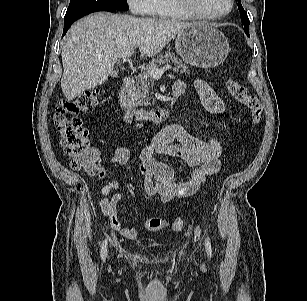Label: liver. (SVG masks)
<instances>
[{"mask_svg":"<svg viewBox=\"0 0 307 301\" xmlns=\"http://www.w3.org/2000/svg\"><path fill=\"white\" fill-rule=\"evenodd\" d=\"M194 24L170 19L95 13L75 22L62 47L61 88L67 100L103 84L127 51L141 58L157 55L182 30Z\"/></svg>","mask_w":307,"mask_h":301,"instance_id":"liver-1","label":"liver"}]
</instances>
